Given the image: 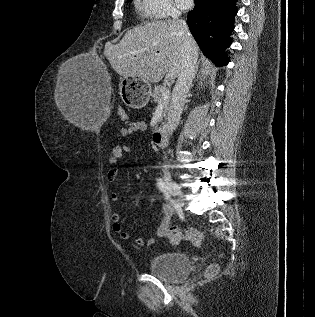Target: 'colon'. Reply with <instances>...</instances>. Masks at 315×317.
Segmentation results:
<instances>
[{
	"label": "colon",
	"mask_w": 315,
	"mask_h": 317,
	"mask_svg": "<svg viewBox=\"0 0 315 317\" xmlns=\"http://www.w3.org/2000/svg\"><path fill=\"white\" fill-rule=\"evenodd\" d=\"M120 117L122 119L126 118V112L124 109L119 110ZM166 238L172 242L177 243L181 240H186L191 242L194 246L200 247L202 244V233L195 228L186 227L185 229H180L176 226H170L166 232ZM218 273V266L211 265L206 270V277L210 278Z\"/></svg>",
	"instance_id": "1"
}]
</instances>
